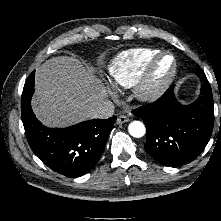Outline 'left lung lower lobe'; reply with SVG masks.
<instances>
[{"instance_id": "0a47b994", "label": "left lung lower lobe", "mask_w": 221, "mask_h": 221, "mask_svg": "<svg viewBox=\"0 0 221 221\" xmlns=\"http://www.w3.org/2000/svg\"><path fill=\"white\" fill-rule=\"evenodd\" d=\"M201 94L190 105H181L171 86L157 101L133 110L143 119L147 128L144 149L165 166L190 163L204 150L213 125V97L204 73Z\"/></svg>"}]
</instances>
